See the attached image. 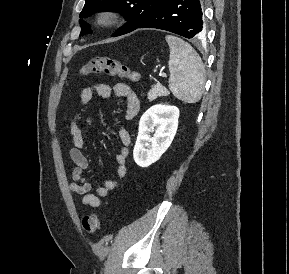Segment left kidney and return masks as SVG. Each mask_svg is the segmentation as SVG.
<instances>
[{"label":"left kidney","mask_w":289,"mask_h":274,"mask_svg":"<svg viewBox=\"0 0 289 274\" xmlns=\"http://www.w3.org/2000/svg\"><path fill=\"white\" fill-rule=\"evenodd\" d=\"M178 118L177 107L161 104L152 106L142 115L133 150V158L138 166L148 167L160 159L174 139Z\"/></svg>","instance_id":"left-kidney-1"}]
</instances>
